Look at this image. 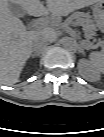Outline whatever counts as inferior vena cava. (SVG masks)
<instances>
[{
	"mask_svg": "<svg viewBox=\"0 0 104 137\" xmlns=\"http://www.w3.org/2000/svg\"><path fill=\"white\" fill-rule=\"evenodd\" d=\"M47 40L44 37H40L37 40H35L32 44L33 50L37 53L44 50L47 46Z\"/></svg>",
	"mask_w": 104,
	"mask_h": 137,
	"instance_id": "inferior-vena-cava-1",
	"label": "inferior vena cava"
}]
</instances>
